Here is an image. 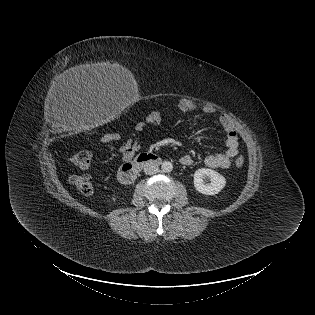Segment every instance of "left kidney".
Listing matches in <instances>:
<instances>
[{
    "label": "left kidney",
    "instance_id": "1",
    "mask_svg": "<svg viewBox=\"0 0 315 315\" xmlns=\"http://www.w3.org/2000/svg\"><path fill=\"white\" fill-rule=\"evenodd\" d=\"M206 180H210V183H205ZM225 184V178L212 169L201 168L194 173V187L204 195L219 193L225 187Z\"/></svg>",
    "mask_w": 315,
    "mask_h": 315
}]
</instances>
